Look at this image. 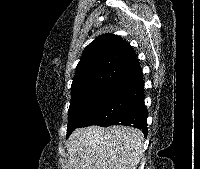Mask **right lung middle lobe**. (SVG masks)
<instances>
[{
    "label": "right lung middle lobe",
    "mask_w": 200,
    "mask_h": 169,
    "mask_svg": "<svg viewBox=\"0 0 200 169\" xmlns=\"http://www.w3.org/2000/svg\"><path fill=\"white\" fill-rule=\"evenodd\" d=\"M116 82H101L72 95L67 137L78 128L112 93Z\"/></svg>",
    "instance_id": "1"
}]
</instances>
